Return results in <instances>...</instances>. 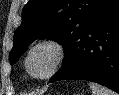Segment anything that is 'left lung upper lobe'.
I'll list each match as a JSON object with an SVG mask.
<instances>
[{"label": "left lung upper lobe", "instance_id": "1", "mask_svg": "<svg viewBox=\"0 0 119 95\" xmlns=\"http://www.w3.org/2000/svg\"><path fill=\"white\" fill-rule=\"evenodd\" d=\"M114 0H30L23 8L22 23L14 34L11 65L25 48L36 39H52L64 47L61 69L74 61L79 41L94 20Z\"/></svg>", "mask_w": 119, "mask_h": 95}]
</instances>
